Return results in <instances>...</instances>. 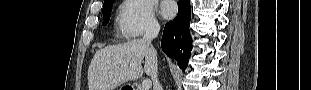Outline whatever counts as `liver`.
<instances>
[{"instance_id": "obj_1", "label": "liver", "mask_w": 311, "mask_h": 90, "mask_svg": "<svg viewBox=\"0 0 311 90\" xmlns=\"http://www.w3.org/2000/svg\"><path fill=\"white\" fill-rule=\"evenodd\" d=\"M156 61V50L143 39L102 48L89 65V90H114L127 81L140 78L144 72L150 76Z\"/></svg>"}]
</instances>
